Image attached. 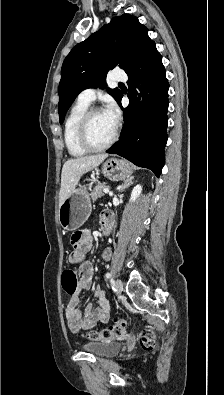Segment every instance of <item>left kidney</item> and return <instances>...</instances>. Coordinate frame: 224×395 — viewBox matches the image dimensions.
<instances>
[{"label":"left kidney","instance_id":"1","mask_svg":"<svg viewBox=\"0 0 224 395\" xmlns=\"http://www.w3.org/2000/svg\"><path fill=\"white\" fill-rule=\"evenodd\" d=\"M141 191H142V186L140 184L136 185L131 192L130 201L134 202L140 196Z\"/></svg>","mask_w":224,"mask_h":395}]
</instances>
